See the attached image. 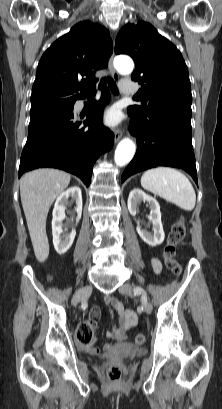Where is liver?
<instances>
[{"mask_svg": "<svg viewBox=\"0 0 222 409\" xmlns=\"http://www.w3.org/2000/svg\"><path fill=\"white\" fill-rule=\"evenodd\" d=\"M66 172L42 168L23 175L20 196L36 259L45 262L49 255L46 219L54 200L68 187Z\"/></svg>", "mask_w": 222, "mask_h": 409, "instance_id": "obj_1", "label": "liver"}]
</instances>
